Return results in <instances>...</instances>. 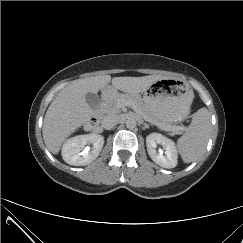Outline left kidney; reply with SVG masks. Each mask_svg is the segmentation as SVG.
Segmentation results:
<instances>
[{
    "mask_svg": "<svg viewBox=\"0 0 243 243\" xmlns=\"http://www.w3.org/2000/svg\"><path fill=\"white\" fill-rule=\"evenodd\" d=\"M161 145L165 154L156 150ZM146 146L150 158L163 168H174L177 165L178 154L175 143L160 133H151L146 137Z\"/></svg>",
    "mask_w": 243,
    "mask_h": 243,
    "instance_id": "1",
    "label": "left kidney"
}]
</instances>
